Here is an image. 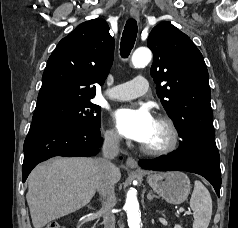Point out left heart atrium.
I'll list each match as a JSON object with an SVG mask.
<instances>
[{"mask_svg":"<svg viewBox=\"0 0 238 228\" xmlns=\"http://www.w3.org/2000/svg\"><path fill=\"white\" fill-rule=\"evenodd\" d=\"M114 120L122 136L142 144L152 134L156 122L148 109L134 107L116 110Z\"/></svg>","mask_w":238,"mask_h":228,"instance_id":"left-heart-atrium-1","label":"left heart atrium"}]
</instances>
